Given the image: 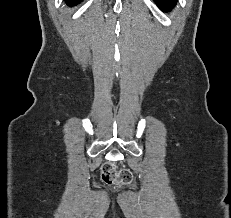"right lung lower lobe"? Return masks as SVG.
Listing matches in <instances>:
<instances>
[{
    "mask_svg": "<svg viewBox=\"0 0 231 218\" xmlns=\"http://www.w3.org/2000/svg\"><path fill=\"white\" fill-rule=\"evenodd\" d=\"M65 1L69 6H73L80 3L82 0H65Z\"/></svg>",
    "mask_w": 231,
    "mask_h": 218,
    "instance_id": "right-lung-lower-lobe-1",
    "label": "right lung lower lobe"
}]
</instances>
